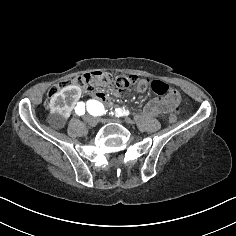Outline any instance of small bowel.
Returning <instances> with one entry per match:
<instances>
[{
	"label": "small bowel",
	"mask_w": 236,
	"mask_h": 236,
	"mask_svg": "<svg viewBox=\"0 0 236 236\" xmlns=\"http://www.w3.org/2000/svg\"><path fill=\"white\" fill-rule=\"evenodd\" d=\"M175 101L173 99H155L148 103L144 108V113L149 116H158L172 109Z\"/></svg>",
	"instance_id": "1"
}]
</instances>
